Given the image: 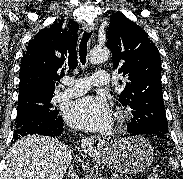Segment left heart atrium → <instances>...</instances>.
I'll return each instance as SVG.
<instances>
[{"label":"left heart atrium","mask_w":183,"mask_h":179,"mask_svg":"<svg viewBox=\"0 0 183 179\" xmlns=\"http://www.w3.org/2000/svg\"><path fill=\"white\" fill-rule=\"evenodd\" d=\"M66 120L86 131H100L110 123L111 110L105 98L84 96L68 106Z\"/></svg>","instance_id":"obj_1"}]
</instances>
